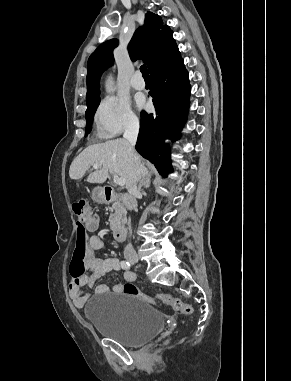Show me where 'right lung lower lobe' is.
<instances>
[{"label": "right lung lower lobe", "instance_id": "right-lung-lower-lobe-1", "mask_svg": "<svg viewBox=\"0 0 291 381\" xmlns=\"http://www.w3.org/2000/svg\"><path fill=\"white\" fill-rule=\"evenodd\" d=\"M150 75V95L153 97L156 113L147 114L142 111L135 148L166 177L171 172V160L164 140H176L180 137L189 108L190 85L179 51L153 68Z\"/></svg>", "mask_w": 291, "mask_h": 381}]
</instances>
